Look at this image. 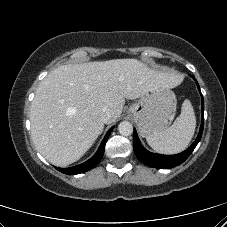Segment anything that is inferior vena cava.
Listing matches in <instances>:
<instances>
[{
    "mask_svg": "<svg viewBox=\"0 0 227 227\" xmlns=\"http://www.w3.org/2000/svg\"><path fill=\"white\" fill-rule=\"evenodd\" d=\"M111 117H112L111 110L108 108H103L102 112H101V120L107 124L109 122V120L111 119Z\"/></svg>",
    "mask_w": 227,
    "mask_h": 227,
    "instance_id": "602c4592",
    "label": "inferior vena cava"
}]
</instances>
